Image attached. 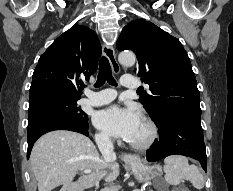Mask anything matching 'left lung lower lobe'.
<instances>
[{
  "label": "left lung lower lobe",
  "mask_w": 233,
  "mask_h": 191,
  "mask_svg": "<svg viewBox=\"0 0 233 191\" xmlns=\"http://www.w3.org/2000/svg\"><path fill=\"white\" fill-rule=\"evenodd\" d=\"M200 119L201 113L190 110L163 113L157 123L160 139L147 152V160L155 162L179 154L199 160L206 171L207 156Z\"/></svg>",
  "instance_id": "0a47b994"
}]
</instances>
